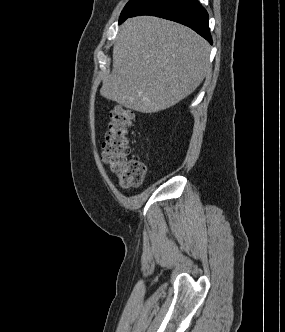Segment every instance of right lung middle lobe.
<instances>
[{
	"label": "right lung middle lobe",
	"instance_id": "dd1d6c3e",
	"mask_svg": "<svg viewBox=\"0 0 285 332\" xmlns=\"http://www.w3.org/2000/svg\"><path fill=\"white\" fill-rule=\"evenodd\" d=\"M147 1L148 0H130L121 12L119 24L126 20L133 12L144 5Z\"/></svg>",
	"mask_w": 285,
	"mask_h": 332
}]
</instances>
